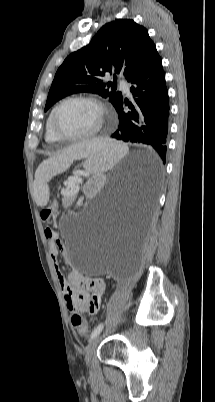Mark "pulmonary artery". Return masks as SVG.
<instances>
[{
  "instance_id": "obj_1",
  "label": "pulmonary artery",
  "mask_w": 215,
  "mask_h": 402,
  "mask_svg": "<svg viewBox=\"0 0 215 402\" xmlns=\"http://www.w3.org/2000/svg\"><path fill=\"white\" fill-rule=\"evenodd\" d=\"M120 86L127 95L130 94L129 84L125 80L120 81Z\"/></svg>"
}]
</instances>
